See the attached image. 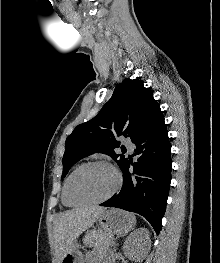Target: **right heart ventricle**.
I'll return each instance as SVG.
<instances>
[{"instance_id": "e07e8e85", "label": "right heart ventricle", "mask_w": 220, "mask_h": 263, "mask_svg": "<svg viewBox=\"0 0 220 263\" xmlns=\"http://www.w3.org/2000/svg\"><path fill=\"white\" fill-rule=\"evenodd\" d=\"M67 179H68V178H67ZM67 179H66V181H65V183H64L63 190H62V203H63L65 206H70V205L67 203L66 199H65V187H66Z\"/></svg>"}]
</instances>
